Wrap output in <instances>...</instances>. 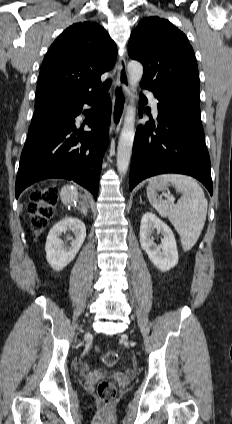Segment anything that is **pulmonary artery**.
<instances>
[{
	"instance_id": "pulmonary-artery-1",
	"label": "pulmonary artery",
	"mask_w": 232,
	"mask_h": 424,
	"mask_svg": "<svg viewBox=\"0 0 232 424\" xmlns=\"http://www.w3.org/2000/svg\"><path fill=\"white\" fill-rule=\"evenodd\" d=\"M143 93L147 95V97H148V99L151 103L153 113L157 116L158 109H157V99H156V97L154 96L153 93H151L149 91H143Z\"/></svg>"
}]
</instances>
